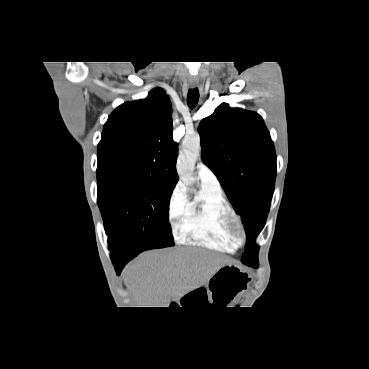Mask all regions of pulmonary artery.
I'll return each mask as SVG.
<instances>
[{
  "instance_id": "1",
  "label": "pulmonary artery",
  "mask_w": 369,
  "mask_h": 369,
  "mask_svg": "<svg viewBox=\"0 0 369 369\" xmlns=\"http://www.w3.org/2000/svg\"><path fill=\"white\" fill-rule=\"evenodd\" d=\"M197 177L201 185L212 189H221L217 176L206 164L202 162L197 164Z\"/></svg>"
}]
</instances>
